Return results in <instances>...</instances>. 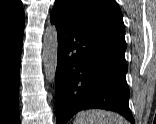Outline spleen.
Listing matches in <instances>:
<instances>
[{"instance_id":"3e777b00","label":"spleen","mask_w":156,"mask_h":124,"mask_svg":"<svg viewBox=\"0 0 156 124\" xmlns=\"http://www.w3.org/2000/svg\"><path fill=\"white\" fill-rule=\"evenodd\" d=\"M73 124H128V122L116 113L92 109L79 112Z\"/></svg>"}]
</instances>
